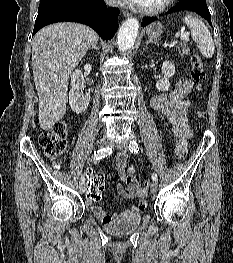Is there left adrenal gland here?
I'll return each instance as SVG.
<instances>
[{
	"instance_id": "a2214340",
	"label": "left adrenal gland",
	"mask_w": 233,
	"mask_h": 263,
	"mask_svg": "<svg viewBox=\"0 0 233 263\" xmlns=\"http://www.w3.org/2000/svg\"><path fill=\"white\" fill-rule=\"evenodd\" d=\"M149 43L158 45V43H157L155 40H152V39H149V40L147 41V45H148Z\"/></svg>"
}]
</instances>
